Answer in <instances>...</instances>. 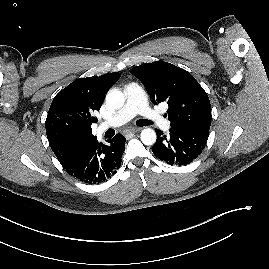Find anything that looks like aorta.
Wrapping results in <instances>:
<instances>
[{
	"mask_svg": "<svg viewBox=\"0 0 269 269\" xmlns=\"http://www.w3.org/2000/svg\"><path fill=\"white\" fill-rule=\"evenodd\" d=\"M124 94L116 89L110 90L106 95V103L111 108L119 109L124 105ZM141 141L145 145H153L156 142V133L151 128L143 129L140 135Z\"/></svg>",
	"mask_w": 269,
	"mask_h": 269,
	"instance_id": "aorta-1",
	"label": "aorta"
}]
</instances>
